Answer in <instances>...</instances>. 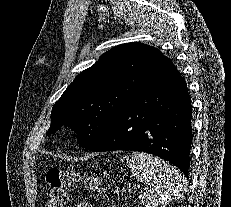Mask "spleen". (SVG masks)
Masks as SVG:
<instances>
[{"instance_id":"obj_1","label":"spleen","mask_w":231,"mask_h":207,"mask_svg":"<svg viewBox=\"0 0 231 207\" xmlns=\"http://www.w3.org/2000/svg\"><path fill=\"white\" fill-rule=\"evenodd\" d=\"M127 160L133 176L145 184L140 201L145 207H165L179 200L186 190V178L169 163L144 152H133Z\"/></svg>"}]
</instances>
